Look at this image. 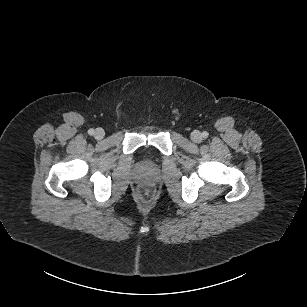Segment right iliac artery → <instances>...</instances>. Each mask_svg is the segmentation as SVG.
<instances>
[{"label":"right iliac artery","mask_w":307,"mask_h":307,"mask_svg":"<svg viewBox=\"0 0 307 307\" xmlns=\"http://www.w3.org/2000/svg\"><path fill=\"white\" fill-rule=\"evenodd\" d=\"M89 135H93L95 133L94 129H89L88 130Z\"/></svg>","instance_id":"obj_1"}]
</instances>
